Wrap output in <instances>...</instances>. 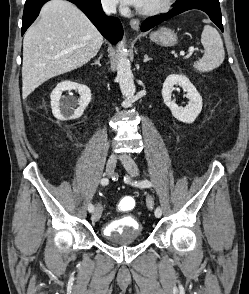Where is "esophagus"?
<instances>
[{
  "label": "esophagus",
  "mask_w": 249,
  "mask_h": 294,
  "mask_svg": "<svg viewBox=\"0 0 249 294\" xmlns=\"http://www.w3.org/2000/svg\"><path fill=\"white\" fill-rule=\"evenodd\" d=\"M130 26L133 30L137 31L140 27V21L138 19H132L130 21Z\"/></svg>",
  "instance_id": "1"
}]
</instances>
